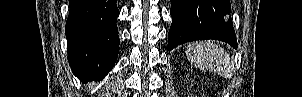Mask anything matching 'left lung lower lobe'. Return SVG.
Wrapping results in <instances>:
<instances>
[{
  "label": "left lung lower lobe",
  "mask_w": 302,
  "mask_h": 97,
  "mask_svg": "<svg viewBox=\"0 0 302 97\" xmlns=\"http://www.w3.org/2000/svg\"><path fill=\"white\" fill-rule=\"evenodd\" d=\"M168 49L195 40L216 39L237 48L229 0H170Z\"/></svg>",
  "instance_id": "1"
}]
</instances>
